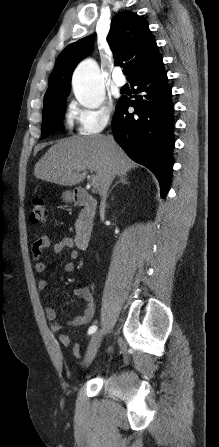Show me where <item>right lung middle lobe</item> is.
<instances>
[{
  "label": "right lung middle lobe",
  "mask_w": 219,
  "mask_h": 447,
  "mask_svg": "<svg viewBox=\"0 0 219 447\" xmlns=\"http://www.w3.org/2000/svg\"><path fill=\"white\" fill-rule=\"evenodd\" d=\"M67 95L60 94L44 100L41 137H46L52 132L63 128L62 120L64 118L65 98Z\"/></svg>",
  "instance_id": "dd1d6c3e"
}]
</instances>
